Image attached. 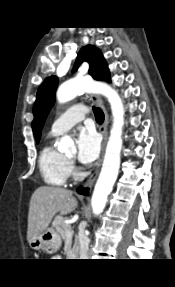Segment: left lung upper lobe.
<instances>
[{"label":"left lung upper lobe","mask_w":175,"mask_h":287,"mask_svg":"<svg viewBox=\"0 0 175 287\" xmlns=\"http://www.w3.org/2000/svg\"><path fill=\"white\" fill-rule=\"evenodd\" d=\"M83 61H87L90 64L89 74L94 79L110 82V73L107 63L98 48L91 45L82 48L73 67V71H76ZM57 85V77L51 76L46 78L38 89L33 108L34 120L32 122L37 143L40 140L41 129L46 117L54 104Z\"/></svg>","instance_id":"left-lung-upper-lobe-1"}]
</instances>
